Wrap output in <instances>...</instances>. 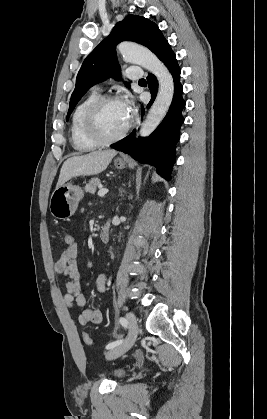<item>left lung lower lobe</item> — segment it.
I'll return each mask as SVG.
<instances>
[{
	"instance_id": "1",
	"label": "left lung lower lobe",
	"mask_w": 267,
	"mask_h": 419,
	"mask_svg": "<svg viewBox=\"0 0 267 419\" xmlns=\"http://www.w3.org/2000/svg\"><path fill=\"white\" fill-rule=\"evenodd\" d=\"M158 58L167 66L174 81V97L167 115L149 137L136 139V131L134 130L130 135L111 147L129 154L141 163L155 166L159 175L170 180L176 157L175 146L180 139V127L184 122L182 111L185 107V101L182 98L183 86L180 83V68L168 43ZM147 82L151 91V100L147 106L149 108L156 98L158 81L153 74H149ZM142 114H144L143 108Z\"/></svg>"
}]
</instances>
